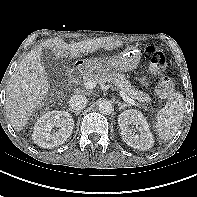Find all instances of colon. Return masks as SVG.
<instances>
[{
    "label": "colon",
    "mask_w": 197,
    "mask_h": 197,
    "mask_svg": "<svg viewBox=\"0 0 197 197\" xmlns=\"http://www.w3.org/2000/svg\"><path fill=\"white\" fill-rule=\"evenodd\" d=\"M145 52L149 56L151 70L155 73H162L167 65L165 54L154 45L147 46ZM172 90V80L166 76L162 77L156 88L158 96L165 98L171 94Z\"/></svg>",
    "instance_id": "colon-1"
}]
</instances>
